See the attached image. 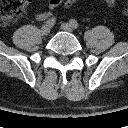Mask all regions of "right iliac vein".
<instances>
[{"mask_svg": "<svg viewBox=\"0 0 128 128\" xmlns=\"http://www.w3.org/2000/svg\"><path fill=\"white\" fill-rule=\"evenodd\" d=\"M41 29H42V33L44 35H48L50 33V31H51V28L49 26H47V25L42 26Z\"/></svg>", "mask_w": 128, "mask_h": 128, "instance_id": "right-iliac-vein-1", "label": "right iliac vein"}]
</instances>
